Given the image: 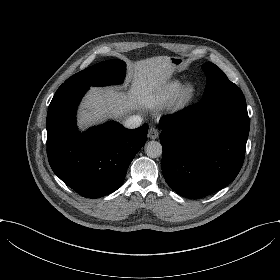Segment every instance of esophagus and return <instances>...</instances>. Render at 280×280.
<instances>
[{
  "mask_svg": "<svg viewBox=\"0 0 280 280\" xmlns=\"http://www.w3.org/2000/svg\"><path fill=\"white\" fill-rule=\"evenodd\" d=\"M159 136V131L155 127H151L148 132V137L152 140L157 139Z\"/></svg>",
  "mask_w": 280,
  "mask_h": 280,
  "instance_id": "1",
  "label": "esophagus"
}]
</instances>
